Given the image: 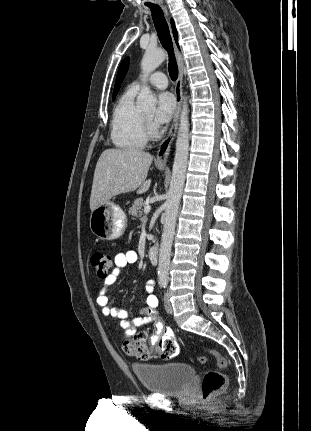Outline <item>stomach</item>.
Here are the masks:
<instances>
[{
  "label": "stomach",
  "instance_id": "obj_1",
  "mask_svg": "<svg viewBox=\"0 0 311 431\" xmlns=\"http://www.w3.org/2000/svg\"><path fill=\"white\" fill-rule=\"evenodd\" d=\"M158 170L165 168L158 166ZM89 227L99 239H118L127 227V217L118 204L106 200L91 212Z\"/></svg>",
  "mask_w": 311,
  "mask_h": 431
}]
</instances>
